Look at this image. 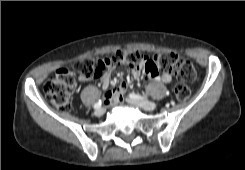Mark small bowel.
I'll return each mask as SVG.
<instances>
[{
	"label": "small bowel",
	"instance_id": "c3829d8e",
	"mask_svg": "<svg viewBox=\"0 0 245 170\" xmlns=\"http://www.w3.org/2000/svg\"><path fill=\"white\" fill-rule=\"evenodd\" d=\"M103 82L105 85H108L109 84V75L108 74H104L103 76ZM160 77H161V80L164 82V83H168L170 80H171V75L170 73L167 71V70H163L160 74ZM149 79V77H147ZM127 87V84L124 83L122 84V91H124Z\"/></svg>",
	"mask_w": 245,
	"mask_h": 170
}]
</instances>
